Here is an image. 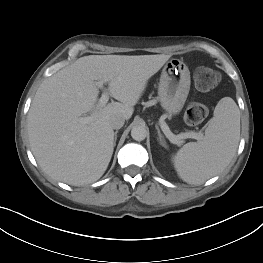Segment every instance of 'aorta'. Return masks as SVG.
I'll return each instance as SVG.
<instances>
[{
	"label": "aorta",
	"mask_w": 263,
	"mask_h": 263,
	"mask_svg": "<svg viewBox=\"0 0 263 263\" xmlns=\"http://www.w3.org/2000/svg\"><path fill=\"white\" fill-rule=\"evenodd\" d=\"M147 136V130L143 126H134L131 130V137L136 141H142Z\"/></svg>",
	"instance_id": "762f6f07"
}]
</instances>
